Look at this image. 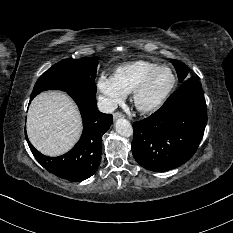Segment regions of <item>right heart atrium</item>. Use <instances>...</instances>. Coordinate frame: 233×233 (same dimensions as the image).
<instances>
[{
	"label": "right heart atrium",
	"mask_w": 233,
	"mask_h": 233,
	"mask_svg": "<svg viewBox=\"0 0 233 233\" xmlns=\"http://www.w3.org/2000/svg\"><path fill=\"white\" fill-rule=\"evenodd\" d=\"M96 89L103 106L107 109L115 108L127 96V93L118 85L114 76L105 73H101L97 77Z\"/></svg>",
	"instance_id": "right-heart-atrium-1"
}]
</instances>
